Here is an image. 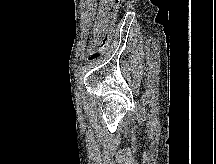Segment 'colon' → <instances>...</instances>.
I'll return each instance as SVG.
<instances>
[{
  "mask_svg": "<svg viewBox=\"0 0 216 164\" xmlns=\"http://www.w3.org/2000/svg\"><path fill=\"white\" fill-rule=\"evenodd\" d=\"M123 0H112V9L106 21L93 31L89 62L98 60L107 50L112 30L117 22L119 6Z\"/></svg>",
  "mask_w": 216,
  "mask_h": 164,
  "instance_id": "obj_1",
  "label": "colon"
}]
</instances>
